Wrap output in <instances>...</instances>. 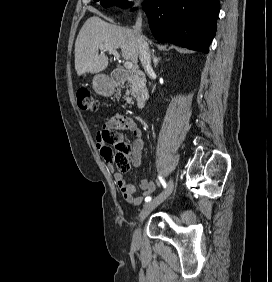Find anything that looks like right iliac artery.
<instances>
[{
  "label": "right iliac artery",
  "instance_id": "82829eb1",
  "mask_svg": "<svg viewBox=\"0 0 272 282\" xmlns=\"http://www.w3.org/2000/svg\"><path fill=\"white\" fill-rule=\"evenodd\" d=\"M159 179H160V181L162 182L163 187L166 188V183L162 180L161 177H159ZM150 200H151V197H150V196L146 197V199H145L146 202H148V201H150Z\"/></svg>",
  "mask_w": 272,
  "mask_h": 282
}]
</instances>
